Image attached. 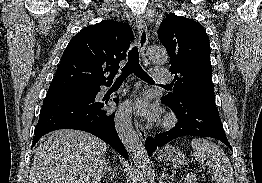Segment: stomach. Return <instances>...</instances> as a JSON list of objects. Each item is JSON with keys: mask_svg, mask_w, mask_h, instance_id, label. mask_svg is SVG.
I'll return each instance as SVG.
<instances>
[{"mask_svg": "<svg viewBox=\"0 0 262 183\" xmlns=\"http://www.w3.org/2000/svg\"><path fill=\"white\" fill-rule=\"evenodd\" d=\"M159 158L171 162L174 167H179L187 163V158L184 153L173 146H165L160 151Z\"/></svg>", "mask_w": 262, "mask_h": 183, "instance_id": "stomach-1", "label": "stomach"}]
</instances>
